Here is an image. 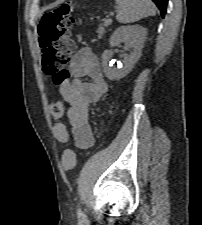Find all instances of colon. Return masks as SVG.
I'll list each match as a JSON object with an SVG mask.
<instances>
[{
	"mask_svg": "<svg viewBox=\"0 0 202 225\" xmlns=\"http://www.w3.org/2000/svg\"><path fill=\"white\" fill-rule=\"evenodd\" d=\"M70 11V5H61L42 15L38 25L42 70L55 86L66 79V67L74 51L75 45L70 31L73 20ZM51 112L54 116L61 117L64 113L63 103L53 102ZM61 167L63 171L74 169L75 153L71 148L64 150Z\"/></svg>",
	"mask_w": 202,
	"mask_h": 225,
	"instance_id": "1",
	"label": "colon"
}]
</instances>
